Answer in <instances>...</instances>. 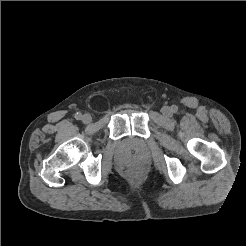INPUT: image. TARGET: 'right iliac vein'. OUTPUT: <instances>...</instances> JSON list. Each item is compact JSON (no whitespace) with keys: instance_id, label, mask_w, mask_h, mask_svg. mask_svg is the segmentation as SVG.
<instances>
[{"instance_id":"1","label":"right iliac vein","mask_w":246,"mask_h":246,"mask_svg":"<svg viewBox=\"0 0 246 246\" xmlns=\"http://www.w3.org/2000/svg\"><path fill=\"white\" fill-rule=\"evenodd\" d=\"M91 120H92V117H91L90 114H84V115L82 116V122L85 123V124L90 123Z\"/></svg>"}]
</instances>
